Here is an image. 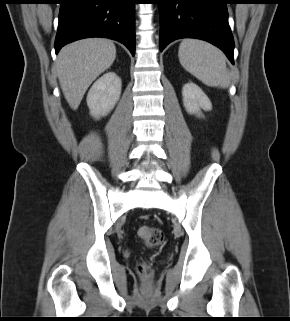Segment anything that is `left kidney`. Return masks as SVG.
I'll return each instance as SVG.
<instances>
[{
	"instance_id": "5707ae66",
	"label": "left kidney",
	"mask_w": 290,
	"mask_h": 321,
	"mask_svg": "<svg viewBox=\"0 0 290 321\" xmlns=\"http://www.w3.org/2000/svg\"><path fill=\"white\" fill-rule=\"evenodd\" d=\"M183 104L190 114L201 115V109L210 111L212 104L207 95L196 84L189 82L182 88Z\"/></svg>"
}]
</instances>
